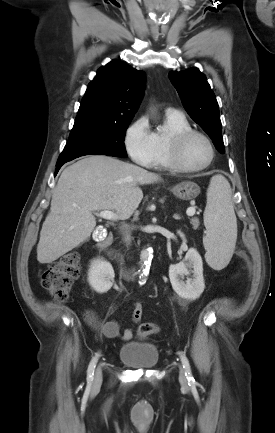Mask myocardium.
<instances>
[{
	"label": "myocardium",
	"mask_w": 275,
	"mask_h": 433,
	"mask_svg": "<svg viewBox=\"0 0 275 433\" xmlns=\"http://www.w3.org/2000/svg\"><path fill=\"white\" fill-rule=\"evenodd\" d=\"M199 136L205 140L209 149H210V158L209 160L201 166L198 167H190L183 162L182 159V151L186 144V142L192 137ZM215 147L211 139L202 131L196 129H189L183 132H180L174 136H172L168 141V159L173 167V169L186 172V173H194L207 169L215 159Z\"/></svg>",
	"instance_id": "myocardium-1"
}]
</instances>
